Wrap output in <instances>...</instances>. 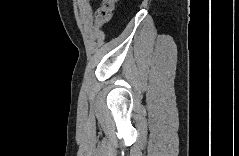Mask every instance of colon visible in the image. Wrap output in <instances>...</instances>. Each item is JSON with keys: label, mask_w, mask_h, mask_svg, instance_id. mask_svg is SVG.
<instances>
[{"label": "colon", "mask_w": 239, "mask_h": 156, "mask_svg": "<svg viewBox=\"0 0 239 156\" xmlns=\"http://www.w3.org/2000/svg\"><path fill=\"white\" fill-rule=\"evenodd\" d=\"M116 7L115 0H103L100 2L97 9V16L100 23L109 21Z\"/></svg>", "instance_id": "obj_1"}]
</instances>
